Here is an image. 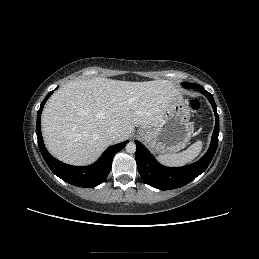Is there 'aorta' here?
Returning a JSON list of instances; mask_svg holds the SVG:
<instances>
[{
    "instance_id": "obj_1",
    "label": "aorta",
    "mask_w": 259,
    "mask_h": 259,
    "mask_svg": "<svg viewBox=\"0 0 259 259\" xmlns=\"http://www.w3.org/2000/svg\"><path fill=\"white\" fill-rule=\"evenodd\" d=\"M125 149L130 154L135 153L136 152V144L134 142H129L126 145Z\"/></svg>"
}]
</instances>
